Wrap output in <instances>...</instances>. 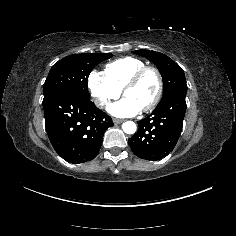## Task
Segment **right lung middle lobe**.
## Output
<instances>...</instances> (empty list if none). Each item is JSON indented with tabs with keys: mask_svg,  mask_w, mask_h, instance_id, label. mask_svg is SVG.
Returning <instances> with one entry per match:
<instances>
[{
	"mask_svg": "<svg viewBox=\"0 0 236 236\" xmlns=\"http://www.w3.org/2000/svg\"><path fill=\"white\" fill-rule=\"evenodd\" d=\"M110 53H83L67 56L52 66L44 83V99L64 92L89 100L87 81L92 69L111 58Z\"/></svg>",
	"mask_w": 236,
	"mask_h": 236,
	"instance_id": "obj_1",
	"label": "right lung middle lobe"
}]
</instances>
